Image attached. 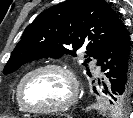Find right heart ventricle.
<instances>
[{
	"label": "right heart ventricle",
	"mask_w": 133,
	"mask_h": 118,
	"mask_svg": "<svg viewBox=\"0 0 133 118\" xmlns=\"http://www.w3.org/2000/svg\"><path fill=\"white\" fill-rule=\"evenodd\" d=\"M16 103H17V108H18V111H20V112H26L22 107H21V105L19 104V102H18V99H17V92H16Z\"/></svg>",
	"instance_id": "obj_1"
}]
</instances>
